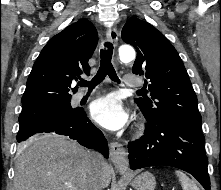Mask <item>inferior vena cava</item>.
<instances>
[{
  "label": "inferior vena cava",
  "instance_id": "1",
  "mask_svg": "<svg viewBox=\"0 0 221 190\" xmlns=\"http://www.w3.org/2000/svg\"><path fill=\"white\" fill-rule=\"evenodd\" d=\"M104 165L105 161L100 153L90 152V176L88 179L87 190H102V170Z\"/></svg>",
  "mask_w": 221,
  "mask_h": 190
}]
</instances>
